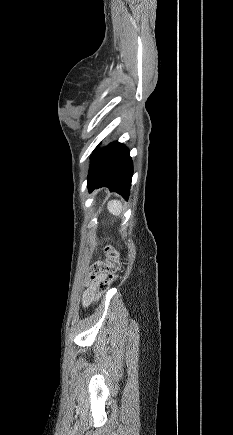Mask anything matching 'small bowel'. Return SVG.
I'll return each mask as SVG.
<instances>
[{
	"instance_id": "obj_1",
	"label": "small bowel",
	"mask_w": 233,
	"mask_h": 435,
	"mask_svg": "<svg viewBox=\"0 0 233 435\" xmlns=\"http://www.w3.org/2000/svg\"><path fill=\"white\" fill-rule=\"evenodd\" d=\"M102 278L106 277V274L101 276ZM96 289V285H91L87 288V290L83 294V302L85 304H90L94 300V292Z\"/></svg>"
}]
</instances>
